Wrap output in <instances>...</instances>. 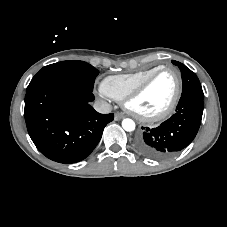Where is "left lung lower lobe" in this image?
<instances>
[{"mask_svg":"<svg viewBox=\"0 0 227 227\" xmlns=\"http://www.w3.org/2000/svg\"><path fill=\"white\" fill-rule=\"evenodd\" d=\"M203 92L182 93L176 113L156 128L142 127L136 138L138 151L152 159H165L187 147L201 124Z\"/></svg>","mask_w":227,"mask_h":227,"instance_id":"obj_1","label":"left lung lower lobe"}]
</instances>
